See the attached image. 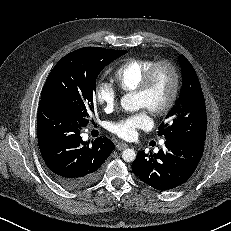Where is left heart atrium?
<instances>
[{
	"label": "left heart atrium",
	"mask_w": 231,
	"mask_h": 231,
	"mask_svg": "<svg viewBox=\"0 0 231 231\" xmlns=\"http://www.w3.org/2000/svg\"><path fill=\"white\" fill-rule=\"evenodd\" d=\"M152 119L148 110L143 109L138 113L110 125V130L123 139H133L137 136L138 130L147 129L151 126Z\"/></svg>",
	"instance_id": "39dd6f15"
}]
</instances>
